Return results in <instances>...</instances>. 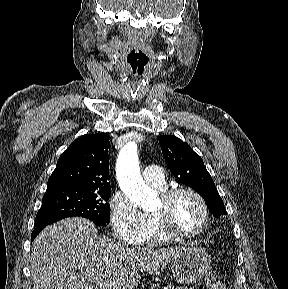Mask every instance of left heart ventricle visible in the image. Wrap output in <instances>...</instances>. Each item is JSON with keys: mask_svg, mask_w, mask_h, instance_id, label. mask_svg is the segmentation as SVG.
Wrapping results in <instances>:
<instances>
[{"mask_svg": "<svg viewBox=\"0 0 288 289\" xmlns=\"http://www.w3.org/2000/svg\"><path fill=\"white\" fill-rule=\"evenodd\" d=\"M161 198L153 213H163ZM167 215L172 228L181 233H189L197 229L203 220L202 209L195 198L190 195H181L170 205Z\"/></svg>", "mask_w": 288, "mask_h": 289, "instance_id": "left-heart-ventricle-1", "label": "left heart ventricle"}]
</instances>
